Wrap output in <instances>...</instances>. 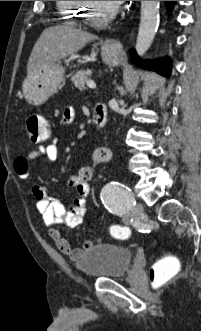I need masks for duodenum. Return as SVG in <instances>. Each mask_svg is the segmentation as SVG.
Masks as SVG:
<instances>
[{
  "instance_id": "410a0bca",
  "label": "duodenum",
  "mask_w": 201,
  "mask_h": 331,
  "mask_svg": "<svg viewBox=\"0 0 201 331\" xmlns=\"http://www.w3.org/2000/svg\"><path fill=\"white\" fill-rule=\"evenodd\" d=\"M95 124L98 127H102L107 122V112L106 109L102 106H97L94 111Z\"/></svg>"
}]
</instances>
